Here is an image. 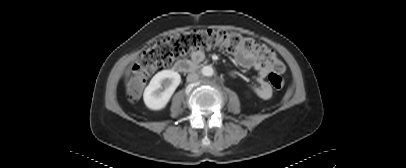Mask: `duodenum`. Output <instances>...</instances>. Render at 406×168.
Wrapping results in <instances>:
<instances>
[{
    "instance_id": "duodenum-1",
    "label": "duodenum",
    "mask_w": 406,
    "mask_h": 168,
    "mask_svg": "<svg viewBox=\"0 0 406 168\" xmlns=\"http://www.w3.org/2000/svg\"><path fill=\"white\" fill-rule=\"evenodd\" d=\"M199 62L180 60L175 63L174 68L181 73H188L194 71L198 67Z\"/></svg>"
}]
</instances>
